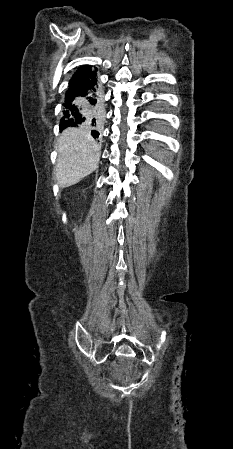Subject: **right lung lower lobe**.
Listing matches in <instances>:
<instances>
[{
    "instance_id": "98d812e1",
    "label": "right lung lower lobe",
    "mask_w": 233,
    "mask_h": 449,
    "mask_svg": "<svg viewBox=\"0 0 233 449\" xmlns=\"http://www.w3.org/2000/svg\"><path fill=\"white\" fill-rule=\"evenodd\" d=\"M62 114L61 129L82 125L92 128L91 135L94 138L100 135L96 128L103 117V105L96 72H93L90 67L83 73L71 78L65 95Z\"/></svg>"
}]
</instances>
